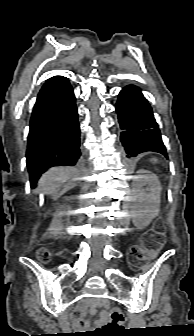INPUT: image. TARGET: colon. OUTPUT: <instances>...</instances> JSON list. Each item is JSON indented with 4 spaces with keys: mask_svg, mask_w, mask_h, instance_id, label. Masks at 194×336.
I'll list each match as a JSON object with an SVG mask.
<instances>
[{
    "mask_svg": "<svg viewBox=\"0 0 194 336\" xmlns=\"http://www.w3.org/2000/svg\"><path fill=\"white\" fill-rule=\"evenodd\" d=\"M164 245V229L159 226L149 231L144 237L141 247L132 248L129 252V263L137 266L139 262L157 254ZM38 257L43 261L51 260V255L45 249L38 250ZM125 316L119 308L111 309L109 319L98 331L92 335H102L107 332L119 330L123 327Z\"/></svg>",
    "mask_w": 194,
    "mask_h": 336,
    "instance_id": "obj_1",
    "label": "colon"
}]
</instances>
